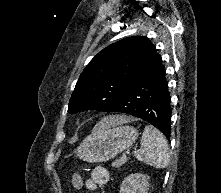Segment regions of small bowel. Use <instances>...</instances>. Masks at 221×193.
<instances>
[{
  "instance_id": "1",
  "label": "small bowel",
  "mask_w": 221,
  "mask_h": 193,
  "mask_svg": "<svg viewBox=\"0 0 221 193\" xmlns=\"http://www.w3.org/2000/svg\"><path fill=\"white\" fill-rule=\"evenodd\" d=\"M109 181V173L106 169L95 168L90 177L86 179L85 186L87 189L95 191L99 186L106 184Z\"/></svg>"
}]
</instances>
